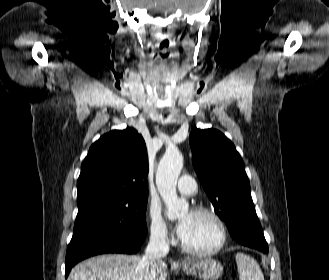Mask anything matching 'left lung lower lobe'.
I'll return each instance as SVG.
<instances>
[{
  "label": "left lung lower lobe",
  "mask_w": 329,
  "mask_h": 280,
  "mask_svg": "<svg viewBox=\"0 0 329 280\" xmlns=\"http://www.w3.org/2000/svg\"><path fill=\"white\" fill-rule=\"evenodd\" d=\"M230 234L238 242L239 240H245V243H243L245 246L255 248L264 253L268 252V245L264 238V234L255 210L252 211L248 225L237 226L230 231ZM250 239H253V241H249Z\"/></svg>",
  "instance_id": "left-lung-lower-lobe-1"
}]
</instances>
